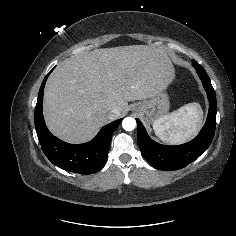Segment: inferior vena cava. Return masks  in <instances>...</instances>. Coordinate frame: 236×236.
<instances>
[{
    "label": "inferior vena cava",
    "instance_id": "obj_1",
    "mask_svg": "<svg viewBox=\"0 0 236 236\" xmlns=\"http://www.w3.org/2000/svg\"><path fill=\"white\" fill-rule=\"evenodd\" d=\"M116 113V111L114 110V111H112V113L111 114H108V117L109 118H112L113 116H114V114Z\"/></svg>",
    "mask_w": 236,
    "mask_h": 236
}]
</instances>
